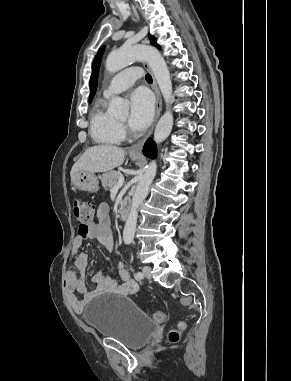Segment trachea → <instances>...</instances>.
<instances>
[{"instance_id": "3493384b", "label": "trachea", "mask_w": 291, "mask_h": 381, "mask_svg": "<svg viewBox=\"0 0 291 381\" xmlns=\"http://www.w3.org/2000/svg\"><path fill=\"white\" fill-rule=\"evenodd\" d=\"M145 79H146V81H147L148 83H152V77H151L150 74H146V75H145Z\"/></svg>"}]
</instances>
